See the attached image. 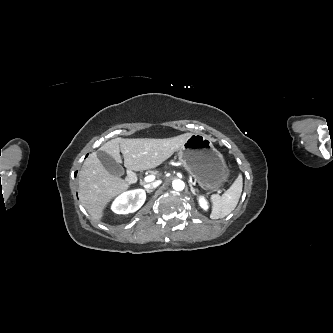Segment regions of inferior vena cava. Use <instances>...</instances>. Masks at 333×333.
<instances>
[{"mask_svg":"<svg viewBox=\"0 0 333 333\" xmlns=\"http://www.w3.org/2000/svg\"><path fill=\"white\" fill-rule=\"evenodd\" d=\"M160 181L153 182L151 184L144 185L145 189H153L160 185Z\"/></svg>","mask_w":333,"mask_h":333,"instance_id":"1","label":"inferior vena cava"}]
</instances>
